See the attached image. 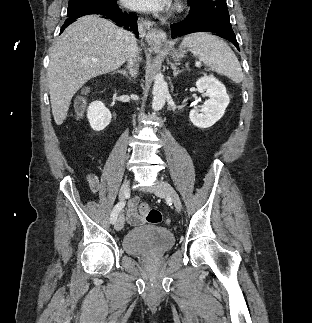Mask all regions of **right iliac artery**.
<instances>
[{"instance_id": "obj_1", "label": "right iliac artery", "mask_w": 312, "mask_h": 323, "mask_svg": "<svg viewBox=\"0 0 312 323\" xmlns=\"http://www.w3.org/2000/svg\"><path fill=\"white\" fill-rule=\"evenodd\" d=\"M125 206V202L124 201H121L119 203H117L113 210H112V213H111V216H110V223L114 224L117 220V216H118V213L120 212V210Z\"/></svg>"}]
</instances>
